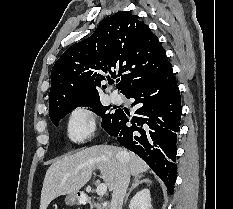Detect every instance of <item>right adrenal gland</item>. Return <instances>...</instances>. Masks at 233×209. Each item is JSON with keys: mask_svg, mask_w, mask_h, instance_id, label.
I'll return each instance as SVG.
<instances>
[{"mask_svg": "<svg viewBox=\"0 0 233 209\" xmlns=\"http://www.w3.org/2000/svg\"><path fill=\"white\" fill-rule=\"evenodd\" d=\"M144 176L141 174V175H137L134 177V181L131 185V188L128 190L126 196H125V200H124V203L126 204L127 201H128V198L131 194V192L137 187L139 186V184H142V183H147V184H151V180L149 179H146V178H143Z\"/></svg>", "mask_w": 233, "mask_h": 209, "instance_id": "obj_1", "label": "right adrenal gland"}]
</instances>
